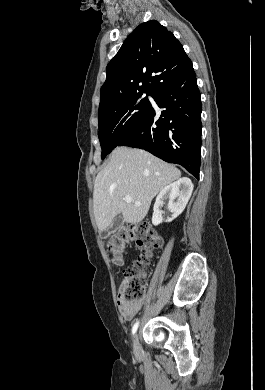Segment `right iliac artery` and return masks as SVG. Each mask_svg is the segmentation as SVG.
Wrapping results in <instances>:
<instances>
[{"instance_id": "obj_1", "label": "right iliac artery", "mask_w": 265, "mask_h": 390, "mask_svg": "<svg viewBox=\"0 0 265 390\" xmlns=\"http://www.w3.org/2000/svg\"><path fill=\"white\" fill-rule=\"evenodd\" d=\"M138 325H139V321H137V322L133 325V327H132V334H135V332L137 331Z\"/></svg>"}]
</instances>
